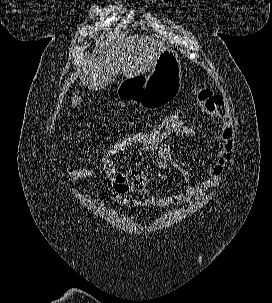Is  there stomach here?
<instances>
[{"mask_svg":"<svg viewBox=\"0 0 272 303\" xmlns=\"http://www.w3.org/2000/svg\"><path fill=\"white\" fill-rule=\"evenodd\" d=\"M181 87L180 58L176 51L167 48L160 54L149 75L121 81L117 94L121 99L151 109L176 98Z\"/></svg>","mask_w":272,"mask_h":303,"instance_id":"obj_1","label":"stomach"}]
</instances>
